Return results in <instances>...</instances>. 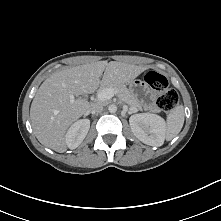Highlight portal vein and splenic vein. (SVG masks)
<instances>
[{
  "label": "portal vein and splenic vein",
  "mask_w": 221,
  "mask_h": 221,
  "mask_svg": "<svg viewBox=\"0 0 221 221\" xmlns=\"http://www.w3.org/2000/svg\"><path fill=\"white\" fill-rule=\"evenodd\" d=\"M114 94L115 91L113 89L111 88L104 89L98 94V100L100 101L109 100L114 96Z\"/></svg>",
  "instance_id": "portal-vein-and-splenic-vein-1"
}]
</instances>
